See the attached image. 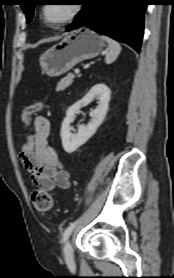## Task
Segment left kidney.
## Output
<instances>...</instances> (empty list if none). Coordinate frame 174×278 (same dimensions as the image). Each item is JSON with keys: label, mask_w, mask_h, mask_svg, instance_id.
<instances>
[{"label": "left kidney", "mask_w": 174, "mask_h": 278, "mask_svg": "<svg viewBox=\"0 0 174 278\" xmlns=\"http://www.w3.org/2000/svg\"><path fill=\"white\" fill-rule=\"evenodd\" d=\"M110 94V89L105 84L99 83L94 85L81 100L77 101L68 108L66 111V117L62 122L60 133L62 146L67 153H73L76 151L96 132L98 127L102 124L108 111ZM94 98L98 100V106L90 112L91 121L86 126L80 125L78 133H71L70 124L74 120L75 113H77L83 105L88 104Z\"/></svg>", "instance_id": "5707ae66"}]
</instances>
